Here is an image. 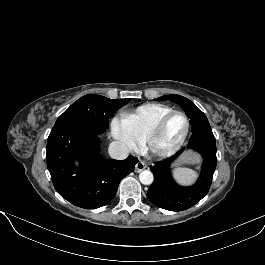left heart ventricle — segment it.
Here are the masks:
<instances>
[{
  "label": "left heart ventricle",
  "mask_w": 265,
  "mask_h": 265,
  "mask_svg": "<svg viewBox=\"0 0 265 265\" xmlns=\"http://www.w3.org/2000/svg\"><path fill=\"white\" fill-rule=\"evenodd\" d=\"M186 129V121L181 115L171 116L156 139V146L165 148L177 143Z\"/></svg>",
  "instance_id": "1"
}]
</instances>
